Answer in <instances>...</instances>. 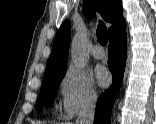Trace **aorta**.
<instances>
[{
	"mask_svg": "<svg viewBox=\"0 0 156 124\" xmlns=\"http://www.w3.org/2000/svg\"><path fill=\"white\" fill-rule=\"evenodd\" d=\"M71 58L77 68H85L89 61L86 38L79 33L74 36L71 43Z\"/></svg>",
	"mask_w": 156,
	"mask_h": 124,
	"instance_id": "1",
	"label": "aorta"
}]
</instances>
